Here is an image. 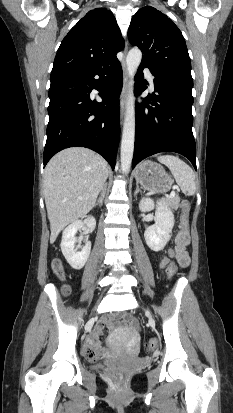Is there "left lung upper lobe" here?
Returning a JSON list of instances; mask_svg holds the SVG:
<instances>
[{
  "label": "left lung upper lobe",
  "mask_w": 233,
  "mask_h": 413,
  "mask_svg": "<svg viewBox=\"0 0 233 413\" xmlns=\"http://www.w3.org/2000/svg\"><path fill=\"white\" fill-rule=\"evenodd\" d=\"M132 45L142 51V62L159 74L193 87L191 62L181 31L165 14L146 6L132 18L128 29Z\"/></svg>",
  "instance_id": "obj_1"
}]
</instances>
